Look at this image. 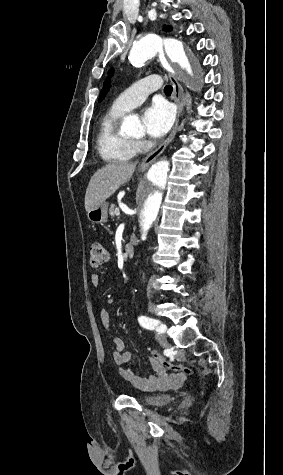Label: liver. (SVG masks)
I'll return each mask as SVG.
<instances>
[{
    "instance_id": "1",
    "label": "liver",
    "mask_w": 283,
    "mask_h": 475,
    "mask_svg": "<svg viewBox=\"0 0 283 475\" xmlns=\"http://www.w3.org/2000/svg\"><path fill=\"white\" fill-rule=\"evenodd\" d=\"M136 164L111 162L93 174L85 194V210L91 212L110 198L120 186L133 176Z\"/></svg>"
}]
</instances>
